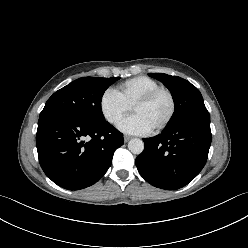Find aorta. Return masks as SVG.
Here are the masks:
<instances>
[{
  "mask_svg": "<svg viewBox=\"0 0 248 248\" xmlns=\"http://www.w3.org/2000/svg\"><path fill=\"white\" fill-rule=\"evenodd\" d=\"M128 149L133 153V154H141L144 150V142L141 139H131L128 143Z\"/></svg>",
  "mask_w": 248,
  "mask_h": 248,
  "instance_id": "aorta-1",
  "label": "aorta"
}]
</instances>
